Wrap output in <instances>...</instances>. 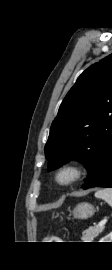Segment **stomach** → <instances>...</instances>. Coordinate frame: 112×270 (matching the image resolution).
Returning <instances> with one entry per match:
<instances>
[{
  "mask_svg": "<svg viewBox=\"0 0 112 270\" xmlns=\"http://www.w3.org/2000/svg\"><path fill=\"white\" fill-rule=\"evenodd\" d=\"M95 213L94 207L89 203H80L73 209V216L76 219H87Z\"/></svg>",
  "mask_w": 112,
  "mask_h": 270,
  "instance_id": "1",
  "label": "stomach"
}]
</instances>
